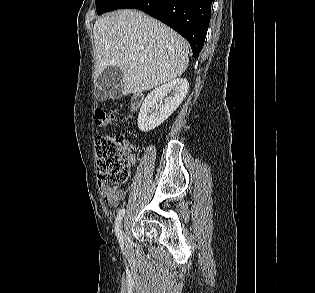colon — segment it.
Here are the masks:
<instances>
[{
  "label": "colon",
  "mask_w": 315,
  "mask_h": 293,
  "mask_svg": "<svg viewBox=\"0 0 315 293\" xmlns=\"http://www.w3.org/2000/svg\"><path fill=\"white\" fill-rule=\"evenodd\" d=\"M115 119V114L105 109L95 112V125L105 127ZM129 140L123 135L98 136L95 141L98 178L100 183L118 186L127 182L130 174Z\"/></svg>",
  "instance_id": "5ec220e1"
}]
</instances>
